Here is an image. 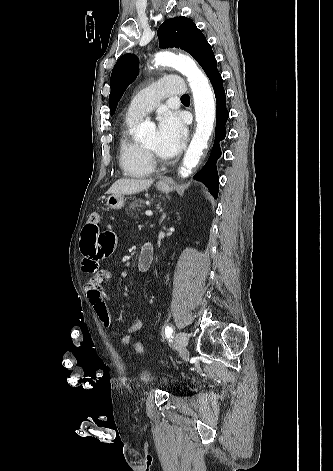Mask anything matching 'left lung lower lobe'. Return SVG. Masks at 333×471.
Returning <instances> with one entry per match:
<instances>
[{"label":"left lung lower lobe","mask_w":333,"mask_h":471,"mask_svg":"<svg viewBox=\"0 0 333 471\" xmlns=\"http://www.w3.org/2000/svg\"><path fill=\"white\" fill-rule=\"evenodd\" d=\"M201 67L208 76L215 92L217 102L216 132L210 158L205 166L194 175V178L205 182L211 188V193L217 197L219 177L216 169V161L221 156L219 141L223 140L226 136L225 124L229 117V112L226 108V95L222 85V77L217 69V61L214 54H211Z\"/></svg>","instance_id":"obj_1"}]
</instances>
